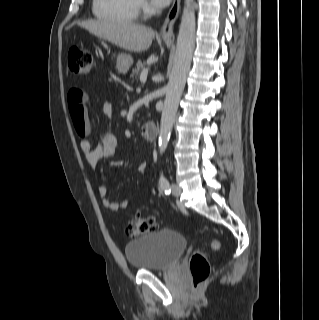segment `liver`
I'll return each instance as SVG.
<instances>
[{"label":"liver","instance_id":"liver-1","mask_svg":"<svg viewBox=\"0 0 319 320\" xmlns=\"http://www.w3.org/2000/svg\"><path fill=\"white\" fill-rule=\"evenodd\" d=\"M79 26L132 52L147 50L155 36L153 29L130 21L88 20Z\"/></svg>","mask_w":319,"mask_h":320}]
</instances>
